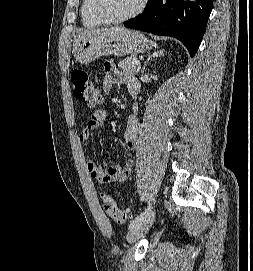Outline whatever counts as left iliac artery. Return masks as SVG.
Listing matches in <instances>:
<instances>
[{"label": "left iliac artery", "instance_id": "1", "mask_svg": "<svg viewBox=\"0 0 253 271\" xmlns=\"http://www.w3.org/2000/svg\"><path fill=\"white\" fill-rule=\"evenodd\" d=\"M151 206L149 205L145 211H143L140 215H138L129 225V228L134 227L136 224H138L140 221H142L145 217H147L150 213Z\"/></svg>", "mask_w": 253, "mask_h": 271}]
</instances>
